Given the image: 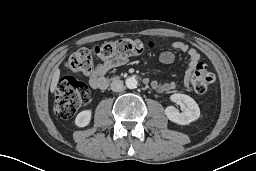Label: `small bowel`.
<instances>
[{"mask_svg":"<svg viewBox=\"0 0 256 171\" xmlns=\"http://www.w3.org/2000/svg\"><path fill=\"white\" fill-rule=\"evenodd\" d=\"M172 48L177 51L187 53V55L189 56V68L184 79V87L188 88L191 72L193 71L195 65L199 62L200 54L196 49L190 48L186 43L181 41H176L172 43ZM174 60L175 54L170 50H165L159 55V62L162 64H171ZM126 61L127 60L125 58H114L106 60L105 62L96 66V68L91 72L89 77L90 86L94 89H106L109 85V80L106 77L107 72L113 68L124 65ZM152 86L158 92L173 91L177 87L176 84L173 82H154Z\"/></svg>","mask_w":256,"mask_h":171,"instance_id":"c3829d8e","label":"small bowel"}]
</instances>
